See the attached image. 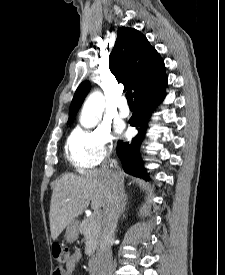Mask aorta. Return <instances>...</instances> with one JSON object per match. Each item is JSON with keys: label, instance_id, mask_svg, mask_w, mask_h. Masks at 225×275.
Masks as SVG:
<instances>
[{"label": "aorta", "instance_id": "aorta-1", "mask_svg": "<svg viewBox=\"0 0 225 275\" xmlns=\"http://www.w3.org/2000/svg\"><path fill=\"white\" fill-rule=\"evenodd\" d=\"M104 107L105 100L103 94L100 91L93 92L83 105L80 116L81 125L85 128L94 127L101 119Z\"/></svg>", "mask_w": 225, "mask_h": 275}]
</instances>
